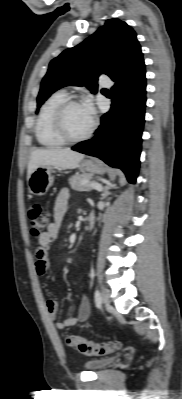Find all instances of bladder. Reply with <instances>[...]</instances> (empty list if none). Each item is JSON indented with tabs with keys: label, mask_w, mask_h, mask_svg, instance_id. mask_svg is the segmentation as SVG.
Instances as JSON below:
<instances>
[{
	"label": "bladder",
	"mask_w": 182,
	"mask_h": 399,
	"mask_svg": "<svg viewBox=\"0 0 182 399\" xmlns=\"http://www.w3.org/2000/svg\"><path fill=\"white\" fill-rule=\"evenodd\" d=\"M113 360L112 357L89 360L85 363V366L92 371H98L110 365Z\"/></svg>",
	"instance_id": "obj_1"
}]
</instances>
